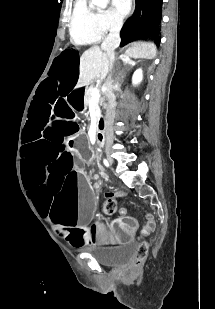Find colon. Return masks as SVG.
<instances>
[{
	"label": "colon",
	"instance_id": "colon-1",
	"mask_svg": "<svg viewBox=\"0 0 215 309\" xmlns=\"http://www.w3.org/2000/svg\"><path fill=\"white\" fill-rule=\"evenodd\" d=\"M117 199L113 193H107L105 196V202L103 205V213L106 216H111L116 212ZM149 247L147 243H140L137 248V257L143 259L148 253Z\"/></svg>",
	"mask_w": 215,
	"mask_h": 309
}]
</instances>
